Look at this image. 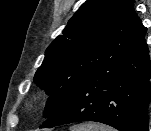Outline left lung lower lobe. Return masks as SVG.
Wrapping results in <instances>:
<instances>
[{"instance_id":"left-lung-lower-lobe-1","label":"left lung lower lobe","mask_w":151,"mask_h":131,"mask_svg":"<svg viewBox=\"0 0 151 131\" xmlns=\"http://www.w3.org/2000/svg\"><path fill=\"white\" fill-rule=\"evenodd\" d=\"M146 30L139 19L132 55L114 69L87 74L40 128L95 121L119 131H148L151 64Z\"/></svg>"}]
</instances>
